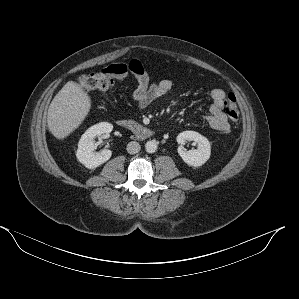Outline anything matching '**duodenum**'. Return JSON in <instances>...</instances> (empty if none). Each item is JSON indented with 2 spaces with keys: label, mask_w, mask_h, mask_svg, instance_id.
I'll list each match as a JSON object with an SVG mask.
<instances>
[{
  "label": "duodenum",
  "mask_w": 299,
  "mask_h": 299,
  "mask_svg": "<svg viewBox=\"0 0 299 299\" xmlns=\"http://www.w3.org/2000/svg\"><path fill=\"white\" fill-rule=\"evenodd\" d=\"M117 124L126 128L140 139H147L153 136V132L150 129L129 119H119Z\"/></svg>",
  "instance_id": "410a0bca"
}]
</instances>
